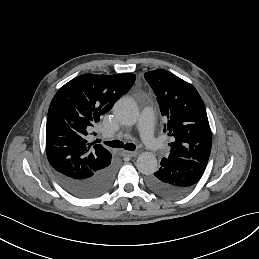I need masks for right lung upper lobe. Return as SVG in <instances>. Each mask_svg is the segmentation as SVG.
<instances>
[{"label": "right lung upper lobe", "instance_id": "1", "mask_svg": "<svg viewBox=\"0 0 259 259\" xmlns=\"http://www.w3.org/2000/svg\"><path fill=\"white\" fill-rule=\"evenodd\" d=\"M135 79L131 73L85 74L60 88L49 106L46 125V154L55 172L86 179L110 165L111 153L101 144L89 143L86 136Z\"/></svg>", "mask_w": 259, "mask_h": 259}]
</instances>
